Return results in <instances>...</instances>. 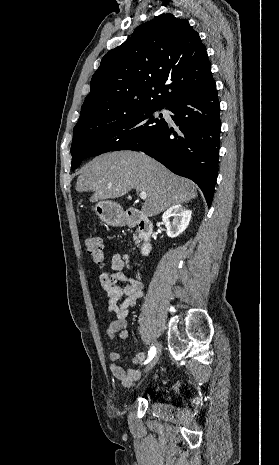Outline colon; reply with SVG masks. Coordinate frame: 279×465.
I'll use <instances>...</instances> for the list:
<instances>
[{
    "label": "colon",
    "instance_id": "obj_1",
    "mask_svg": "<svg viewBox=\"0 0 279 465\" xmlns=\"http://www.w3.org/2000/svg\"><path fill=\"white\" fill-rule=\"evenodd\" d=\"M85 244L87 253L94 260V262L97 264H103L104 248L101 238L98 236H89L86 239Z\"/></svg>",
    "mask_w": 279,
    "mask_h": 465
}]
</instances>
